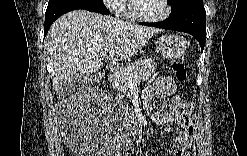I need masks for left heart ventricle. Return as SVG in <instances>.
I'll return each mask as SVG.
<instances>
[{
    "label": "left heart ventricle",
    "mask_w": 247,
    "mask_h": 156,
    "mask_svg": "<svg viewBox=\"0 0 247 156\" xmlns=\"http://www.w3.org/2000/svg\"><path fill=\"white\" fill-rule=\"evenodd\" d=\"M135 8L142 16H155L163 12L162 2L158 0L136 1Z\"/></svg>",
    "instance_id": "left-heart-ventricle-1"
}]
</instances>
